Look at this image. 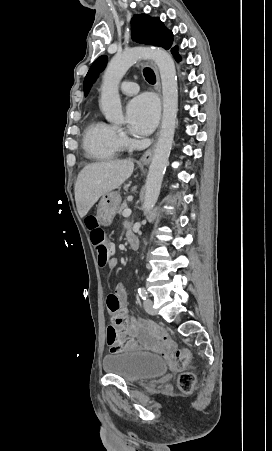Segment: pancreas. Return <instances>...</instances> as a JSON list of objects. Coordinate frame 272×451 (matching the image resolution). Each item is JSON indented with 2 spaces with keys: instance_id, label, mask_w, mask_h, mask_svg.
<instances>
[{
  "instance_id": "1",
  "label": "pancreas",
  "mask_w": 272,
  "mask_h": 451,
  "mask_svg": "<svg viewBox=\"0 0 272 451\" xmlns=\"http://www.w3.org/2000/svg\"><path fill=\"white\" fill-rule=\"evenodd\" d=\"M124 210H128L126 200H124L123 204H121L120 208H118V214H123Z\"/></svg>"
}]
</instances>
